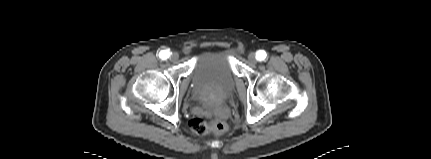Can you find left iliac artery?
I'll return each instance as SVG.
<instances>
[{"instance_id":"1","label":"left iliac artery","mask_w":431,"mask_h":159,"mask_svg":"<svg viewBox=\"0 0 431 159\" xmlns=\"http://www.w3.org/2000/svg\"><path fill=\"white\" fill-rule=\"evenodd\" d=\"M266 56H267V54H266V52H265L264 50H259V51L256 53V58H257L258 60H260V61L264 60V59L266 58Z\"/></svg>"}]
</instances>
